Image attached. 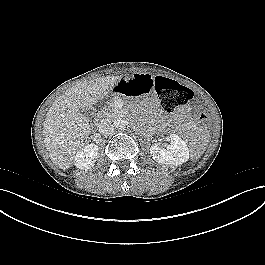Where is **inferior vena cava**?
<instances>
[{
  "mask_svg": "<svg viewBox=\"0 0 265 265\" xmlns=\"http://www.w3.org/2000/svg\"><path fill=\"white\" fill-rule=\"evenodd\" d=\"M99 132L103 135H110L112 134L113 130H114V126L112 124V122L108 119H104L100 122L99 126Z\"/></svg>",
  "mask_w": 265,
  "mask_h": 265,
  "instance_id": "inferior-vena-cava-1",
  "label": "inferior vena cava"
}]
</instances>
